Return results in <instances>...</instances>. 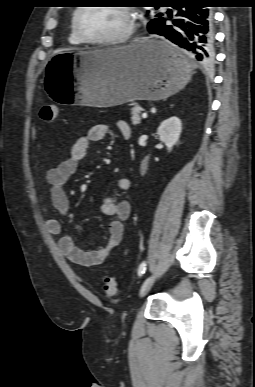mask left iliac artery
I'll return each instance as SVG.
<instances>
[{"label":"left iliac artery","instance_id":"left-iliac-artery-1","mask_svg":"<svg viewBox=\"0 0 255 387\" xmlns=\"http://www.w3.org/2000/svg\"><path fill=\"white\" fill-rule=\"evenodd\" d=\"M146 270V262H142L138 268V275L142 276Z\"/></svg>","mask_w":255,"mask_h":387}]
</instances>
